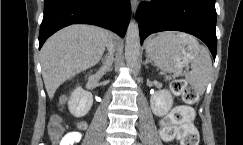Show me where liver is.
<instances>
[{"instance_id":"liver-1","label":"liver","mask_w":243,"mask_h":145,"mask_svg":"<svg viewBox=\"0 0 243 145\" xmlns=\"http://www.w3.org/2000/svg\"><path fill=\"white\" fill-rule=\"evenodd\" d=\"M109 31L90 25H71L51 36L41 49L42 76L50 99L69 78L99 62Z\"/></svg>"}]
</instances>
